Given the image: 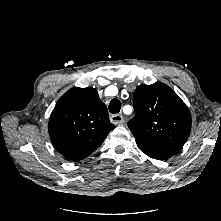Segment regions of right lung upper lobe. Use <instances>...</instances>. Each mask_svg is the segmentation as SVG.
<instances>
[{
  "mask_svg": "<svg viewBox=\"0 0 221 221\" xmlns=\"http://www.w3.org/2000/svg\"><path fill=\"white\" fill-rule=\"evenodd\" d=\"M114 128L106 105L92 87L67 91L55 105L48 126L54 147L73 161L88 157Z\"/></svg>",
  "mask_w": 221,
  "mask_h": 221,
  "instance_id": "obj_1",
  "label": "right lung upper lobe"
}]
</instances>
